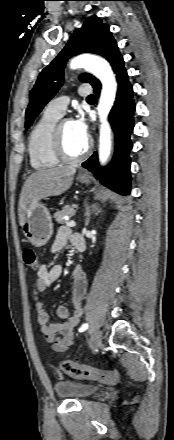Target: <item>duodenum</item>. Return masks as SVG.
Listing matches in <instances>:
<instances>
[{
    "mask_svg": "<svg viewBox=\"0 0 174 440\" xmlns=\"http://www.w3.org/2000/svg\"><path fill=\"white\" fill-rule=\"evenodd\" d=\"M77 239H76V243L75 246L80 250V251H84L85 250V241L84 238L81 235H77Z\"/></svg>",
    "mask_w": 174,
    "mask_h": 440,
    "instance_id": "obj_1",
    "label": "duodenum"
}]
</instances>
